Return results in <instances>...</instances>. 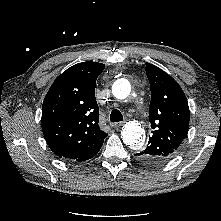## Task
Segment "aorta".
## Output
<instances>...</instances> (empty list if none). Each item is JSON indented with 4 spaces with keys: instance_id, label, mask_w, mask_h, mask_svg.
Listing matches in <instances>:
<instances>
[{
    "instance_id": "1",
    "label": "aorta",
    "mask_w": 221,
    "mask_h": 221,
    "mask_svg": "<svg viewBox=\"0 0 221 221\" xmlns=\"http://www.w3.org/2000/svg\"><path fill=\"white\" fill-rule=\"evenodd\" d=\"M131 85L126 79H119L112 86V93L118 99H125L130 95ZM123 142L133 150H139L144 145V134L141 125L135 121L124 124L121 131Z\"/></svg>"
}]
</instances>
